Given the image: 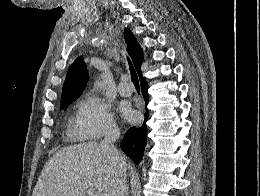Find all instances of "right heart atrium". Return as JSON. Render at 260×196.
<instances>
[{"mask_svg":"<svg viewBox=\"0 0 260 196\" xmlns=\"http://www.w3.org/2000/svg\"><path fill=\"white\" fill-rule=\"evenodd\" d=\"M70 128L83 143H103L96 140L117 129L118 124L108 104L90 92L78 102Z\"/></svg>","mask_w":260,"mask_h":196,"instance_id":"d8ad5b80","label":"right heart atrium"}]
</instances>
